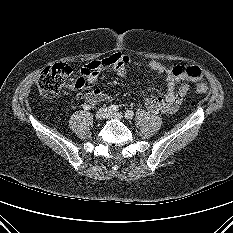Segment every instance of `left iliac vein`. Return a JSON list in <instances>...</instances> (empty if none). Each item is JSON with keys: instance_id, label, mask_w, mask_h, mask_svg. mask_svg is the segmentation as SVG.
Returning a JSON list of instances; mask_svg holds the SVG:
<instances>
[{"instance_id": "left-iliac-vein-1", "label": "left iliac vein", "mask_w": 233, "mask_h": 233, "mask_svg": "<svg viewBox=\"0 0 233 233\" xmlns=\"http://www.w3.org/2000/svg\"><path fill=\"white\" fill-rule=\"evenodd\" d=\"M108 118H110V119H118V120H121L122 118H123V113H121V112H117V113H109L108 114V116H107Z\"/></svg>"}]
</instances>
